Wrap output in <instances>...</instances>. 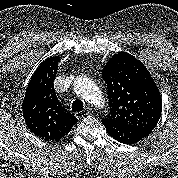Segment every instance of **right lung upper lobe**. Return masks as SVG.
<instances>
[{
    "label": "right lung upper lobe",
    "mask_w": 178,
    "mask_h": 178,
    "mask_svg": "<svg viewBox=\"0 0 178 178\" xmlns=\"http://www.w3.org/2000/svg\"><path fill=\"white\" fill-rule=\"evenodd\" d=\"M59 57L43 61L33 74L23 99V116L32 133L47 141H59L78 121L59 102L53 82Z\"/></svg>",
    "instance_id": "right-lung-upper-lobe-1"
}]
</instances>
